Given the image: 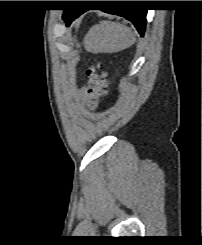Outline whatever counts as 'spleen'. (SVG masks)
<instances>
[{
  "label": "spleen",
  "mask_w": 202,
  "mask_h": 245,
  "mask_svg": "<svg viewBox=\"0 0 202 245\" xmlns=\"http://www.w3.org/2000/svg\"><path fill=\"white\" fill-rule=\"evenodd\" d=\"M136 42L132 30L117 22L102 21L92 27L84 39L86 50L92 53H114Z\"/></svg>",
  "instance_id": "1"
}]
</instances>
